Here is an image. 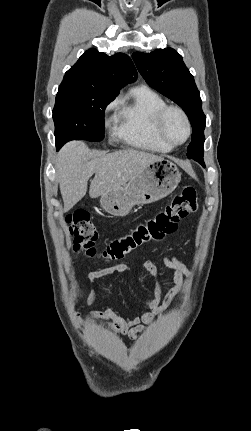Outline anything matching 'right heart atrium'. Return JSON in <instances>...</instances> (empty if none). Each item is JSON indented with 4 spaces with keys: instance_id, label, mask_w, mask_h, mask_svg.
Returning <instances> with one entry per match:
<instances>
[{
    "instance_id": "d8ad5b80",
    "label": "right heart atrium",
    "mask_w": 251,
    "mask_h": 431,
    "mask_svg": "<svg viewBox=\"0 0 251 431\" xmlns=\"http://www.w3.org/2000/svg\"><path fill=\"white\" fill-rule=\"evenodd\" d=\"M117 104V100H112L111 102H109L105 107V114H109L110 112H112L116 108ZM112 119V117H107L105 120L106 125H109L112 122Z\"/></svg>"
}]
</instances>
